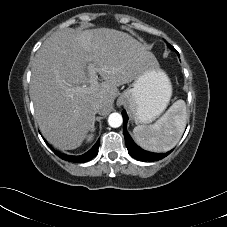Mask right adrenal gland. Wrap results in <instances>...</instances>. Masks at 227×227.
Masks as SVG:
<instances>
[{
	"label": "right adrenal gland",
	"instance_id": "1",
	"mask_svg": "<svg viewBox=\"0 0 227 227\" xmlns=\"http://www.w3.org/2000/svg\"><path fill=\"white\" fill-rule=\"evenodd\" d=\"M95 130V127L93 126V131Z\"/></svg>",
	"mask_w": 227,
	"mask_h": 227
}]
</instances>
